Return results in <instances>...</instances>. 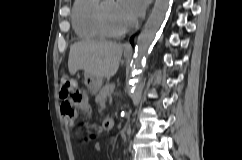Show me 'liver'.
Listing matches in <instances>:
<instances>
[{"label":"liver","instance_id":"liver-1","mask_svg":"<svg viewBox=\"0 0 242 160\" xmlns=\"http://www.w3.org/2000/svg\"><path fill=\"white\" fill-rule=\"evenodd\" d=\"M123 46L109 41L86 40L70 47L68 69L71 75L84 70V75H93L101 80L116 74Z\"/></svg>","mask_w":242,"mask_h":160}]
</instances>
